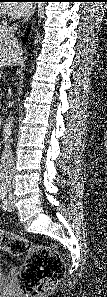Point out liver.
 I'll use <instances>...</instances> for the list:
<instances>
[{
	"label": "liver",
	"mask_w": 107,
	"mask_h": 297,
	"mask_svg": "<svg viewBox=\"0 0 107 297\" xmlns=\"http://www.w3.org/2000/svg\"><path fill=\"white\" fill-rule=\"evenodd\" d=\"M23 49L16 41L0 36V67L16 66L22 60Z\"/></svg>",
	"instance_id": "obj_1"
}]
</instances>
